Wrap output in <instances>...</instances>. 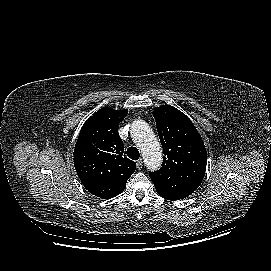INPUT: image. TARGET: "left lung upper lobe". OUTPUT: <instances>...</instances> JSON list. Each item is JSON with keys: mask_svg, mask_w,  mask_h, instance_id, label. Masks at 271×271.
Segmentation results:
<instances>
[{"mask_svg": "<svg viewBox=\"0 0 271 271\" xmlns=\"http://www.w3.org/2000/svg\"><path fill=\"white\" fill-rule=\"evenodd\" d=\"M164 159L162 167L150 172L156 190L166 191L169 179L181 177L199 186L207 165V152L202 138L191 120L170 105L153 112Z\"/></svg>", "mask_w": 271, "mask_h": 271, "instance_id": "left-lung-upper-lobe-1", "label": "left lung upper lobe"}]
</instances>
